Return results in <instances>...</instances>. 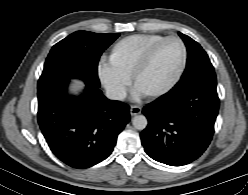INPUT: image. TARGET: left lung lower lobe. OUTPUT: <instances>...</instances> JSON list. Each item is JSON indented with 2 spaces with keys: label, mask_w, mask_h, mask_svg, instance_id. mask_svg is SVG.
Instances as JSON below:
<instances>
[{
  "label": "left lung lower lobe",
  "mask_w": 248,
  "mask_h": 195,
  "mask_svg": "<svg viewBox=\"0 0 248 195\" xmlns=\"http://www.w3.org/2000/svg\"><path fill=\"white\" fill-rule=\"evenodd\" d=\"M216 85L208 82L185 89L176 85L166 97L143 108L148 126L140 137L151 158L181 166L202 155L212 139L219 110Z\"/></svg>",
  "instance_id": "obj_1"
}]
</instances>
